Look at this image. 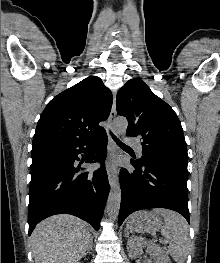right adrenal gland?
Returning <instances> with one entry per match:
<instances>
[{"label":"right adrenal gland","instance_id":"right-adrenal-gland-1","mask_svg":"<svg viewBox=\"0 0 220 263\" xmlns=\"http://www.w3.org/2000/svg\"><path fill=\"white\" fill-rule=\"evenodd\" d=\"M92 245H93V239H91V242H90V244H89V247H88V249H87L86 254H88V253L90 252V250H92Z\"/></svg>","mask_w":220,"mask_h":263}]
</instances>
